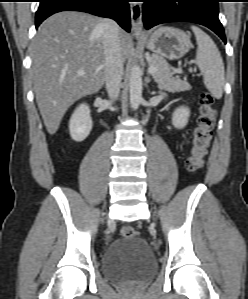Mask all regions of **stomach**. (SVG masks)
<instances>
[{
	"label": "stomach",
	"instance_id": "obj_1",
	"mask_svg": "<svg viewBox=\"0 0 248 299\" xmlns=\"http://www.w3.org/2000/svg\"><path fill=\"white\" fill-rule=\"evenodd\" d=\"M146 47L156 55L170 60L180 59L191 48L190 36L174 27H159L149 34Z\"/></svg>",
	"mask_w": 248,
	"mask_h": 299
}]
</instances>
